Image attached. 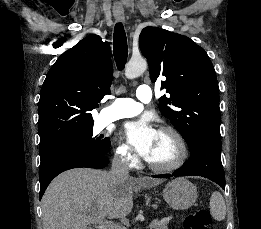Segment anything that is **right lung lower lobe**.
Masks as SVG:
<instances>
[{"label":"right lung lower lobe","instance_id":"obj_1","mask_svg":"<svg viewBox=\"0 0 261 229\" xmlns=\"http://www.w3.org/2000/svg\"><path fill=\"white\" fill-rule=\"evenodd\" d=\"M109 164L106 155L68 156L41 162L39 168L40 199L49 183L61 172L72 168L102 169Z\"/></svg>","mask_w":261,"mask_h":229}]
</instances>
